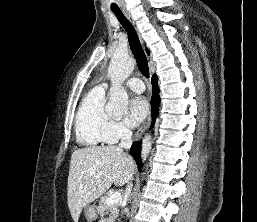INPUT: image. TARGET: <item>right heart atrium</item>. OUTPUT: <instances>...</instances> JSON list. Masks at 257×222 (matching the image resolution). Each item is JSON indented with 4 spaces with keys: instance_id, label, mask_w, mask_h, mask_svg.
Returning a JSON list of instances; mask_svg holds the SVG:
<instances>
[{
    "instance_id": "obj_1",
    "label": "right heart atrium",
    "mask_w": 257,
    "mask_h": 222,
    "mask_svg": "<svg viewBox=\"0 0 257 222\" xmlns=\"http://www.w3.org/2000/svg\"><path fill=\"white\" fill-rule=\"evenodd\" d=\"M131 132L124 122L112 121L107 128L108 143H116L121 139L128 138Z\"/></svg>"
}]
</instances>
